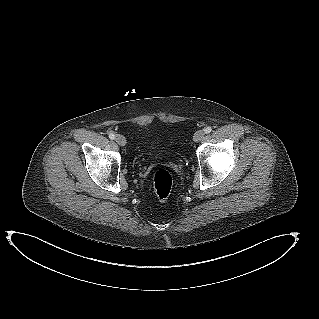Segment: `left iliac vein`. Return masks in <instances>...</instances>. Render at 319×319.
I'll list each match as a JSON object with an SVG mask.
<instances>
[{
	"label": "left iliac vein",
	"mask_w": 319,
	"mask_h": 319,
	"mask_svg": "<svg viewBox=\"0 0 319 319\" xmlns=\"http://www.w3.org/2000/svg\"><path fill=\"white\" fill-rule=\"evenodd\" d=\"M204 135L205 133L202 130L196 131L193 136V140L195 142H199L204 137Z\"/></svg>",
	"instance_id": "obj_1"
}]
</instances>
